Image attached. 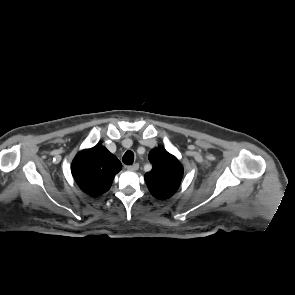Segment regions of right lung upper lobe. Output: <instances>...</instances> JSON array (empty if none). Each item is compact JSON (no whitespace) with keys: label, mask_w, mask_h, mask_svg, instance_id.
<instances>
[{"label":"right lung upper lobe","mask_w":295,"mask_h":295,"mask_svg":"<svg viewBox=\"0 0 295 295\" xmlns=\"http://www.w3.org/2000/svg\"><path fill=\"white\" fill-rule=\"evenodd\" d=\"M122 164L104 146L80 151L71 165L72 175L80 189L86 194L97 197L107 192Z\"/></svg>","instance_id":"right-lung-upper-lobe-1"}]
</instances>
